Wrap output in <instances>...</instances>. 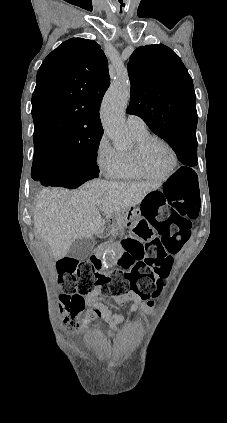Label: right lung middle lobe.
I'll list each match as a JSON object with an SVG mask.
<instances>
[{
    "label": "right lung middle lobe",
    "mask_w": 227,
    "mask_h": 423,
    "mask_svg": "<svg viewBox=\"0 0 227 423\" xmlns=\"http://www.w3.org/2000/svg\"><path fill=\"white\" fill-rule=\"evenodd\" d=\"M101 136L89 135L64 145L37 148L33 165L49 159L61 164L64 170L74 171L82 177L96 178L99 176L96 159Z\"/></svg>",
    "instance_id": "right-lung-middle-lobe-1"
}]
</instances>
